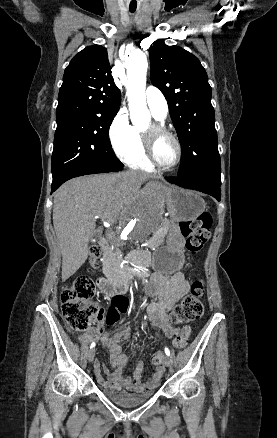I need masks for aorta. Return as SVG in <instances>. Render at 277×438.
I'll return each mask as SVG.
<instances>
[{
  "instance_id": "1",
  "label": "aorta",
  "mask_w": 277,
  "mask_h": 438,
  "mask_svg": "<svg viewBox=\"0 0 277 438\" xmlns=\"http://www.w3.org/2000/svg\"><path fill=\"white\" fill-rule=\"evenodd\" d=\"M127 95L132 124L137 128L146 126L150 112L146 105L147 58L141 50H134L126 59ZM163 203L152 191L139 195L125 211L114 242L120 247H132L146 240L160 225Z\"/></svg>"
}]
</instances>
